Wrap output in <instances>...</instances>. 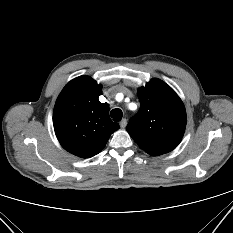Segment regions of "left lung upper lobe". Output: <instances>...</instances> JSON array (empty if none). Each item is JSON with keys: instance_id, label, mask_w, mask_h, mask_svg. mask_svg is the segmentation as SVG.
<instances>
[{"instance_id": "5c2ea615", "label": "left lung upper lobe", "mask_w": 233, "mask_h": 233, "mask_svg": "<svg viewBox=\"0 0 233 233\" xmlns=\"http://www.w3.org/2000/svg\"><path fill=\"white\" fill-rule=\"evenodd\" d=\"M139 112L127 131L145 152L158 156L170 152L181 141L186 111L178 95L160 79H152L138 90Z\"/></svg>"}]
</instances>
